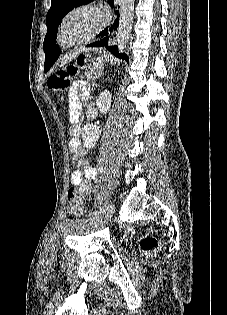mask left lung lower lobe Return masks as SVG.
<instances>
[{"label":"left lung lower lobe","mask_w":227,"mask_h":315,"mask_svg":"<svg viewBox=\"0 0 227 315\" xmlns=\"http://www.w3.org/2000/svg\"><path fill=\"white\" fill-rule=\"evenodd\" d=\"M109 3L111 7L114 5V0H109ZM117 18L115 19L113 25L110 27H106L103 31H101L98 35L99 40L96 42H93L91 44H88L89 47H106L108 51L113 53L115 56H118L121 59H125L127 62L129 61V58L126 54H120L118 52L117 46H108L109 42V35H111V32L113 30H116L119 24V13L116 11ZM46 60L44 64L45 71H48L50 67L55 63L57 58L60 55V50L58 49L56 43H51L46 49H44Z\"/></svg>","instance_id":"0a47b994"}]
</instances>
